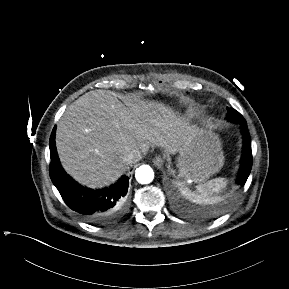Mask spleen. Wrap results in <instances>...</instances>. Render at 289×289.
<instances>
[{
  "label": "spleen",
  "mask_w": 289,
  "mask_h": 289,
  "mask_svg": "<svg viewBox=\"0 0 289 289\" xmlns=\"http://www.w3.org/2000/svg\"><path fill=\"white\" fill-rule=\"evenodd\" d=\"M228 184V180L223 177L211 179L197 186V190L202 196L218 195Z\"/></svg>",
  "instance_id": "1"
}]
</instances>
